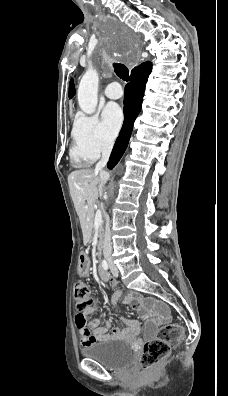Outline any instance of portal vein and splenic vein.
<instances>
[{
	"label": "portal vein and splenic vein",
	"instance_id": "portal-vein-and-splenic-vein-1",
	"mask_svg": "<svg viewBox=\"0 0 228 396\" xmlns=\"http://www.w3.org/2000/svg\"><path fill=\"white\" fill-rule=\"evenodd\" d=\"M101 223H102V215L100 211H97L94 219V225L100 226Z\"/></svg>",
	"mask_w": 228,
	"mask_h": 396
}]
</instances>
